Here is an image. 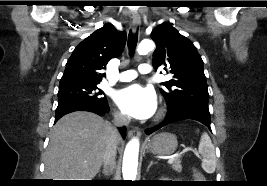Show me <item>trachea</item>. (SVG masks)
Masks as SVG:
<instances>
[{
  "label": "trachea",
  "mask_w": 267,
  "mask_h": 186,
  "mask_svg": "<svg viewBox=\"0 0 267 186\" xmlns=\"http://www.w3.org/2000/svg\"><path fill=\"white\" fill-rule=\"evenodd\" d=\"M138 41V30L133 33L131 30L128 35V49H129V55L132 57L135 53L136 45Z\"/></svg>",
  "instance_id": "1"
}]
</instances>
